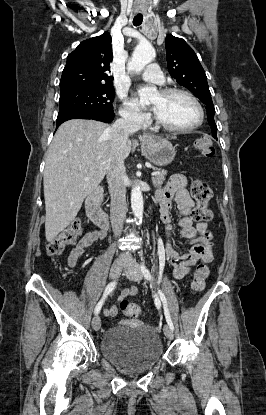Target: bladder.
Listing matches in <instances>:
<instances>
[{
  "mask_svg": "<svg viewBox=\"0 0 266 415\" xmlns=\"http://www.w3.org/2000/svg\"><path fill=\"white\" fill-rule=\"evenodd\" d=\"M100 350L110 363L130 374L153 368L163 356L162 341L149 326H113L104 334Z\"/></svg>",
  "mask_w": 266,
  "mask_h": 415,
  "instance_id": "obj_1",
  "label": "bladder"
}]
</instances>
